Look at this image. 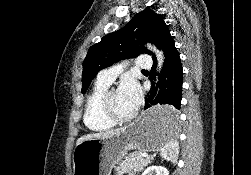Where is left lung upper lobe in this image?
I'll return each instance as SVG.
<instances>
[{
  "instance_id": "obj_1",
  "label": "left lung upper lobe",
  "mask_w": 251,
  "mask_h": 175,
  "mask_svg": "<svg viewBox=\"0 0 251 175\" xmlns=\"http://www.w3.org/2000/svg\"><path fill=\"white\" fill-rule=\"evenodd\" d=\"M164 17L152 10L137 13L120 30L104 36L91 46L83 62L82 93L88 89L97 73L113 63L126 58H134L142 53L154 55L142 45L150 42L160 48L168 26Z\"/></svg>"
}]
</instances>
